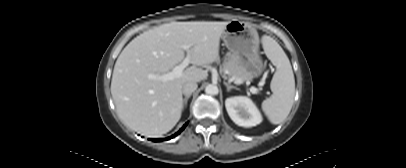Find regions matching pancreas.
<instances>
[{
  "instance_id": "pancreas-1",
  "label": "pancreas",
  "mask_w": 406,
  "mask_h": 168,
  "mask_svg": "<svg viewBox=\"0 0 406 168\" xmlns=\"http://www.w3.org/2000/svg\"><path fill=\"white\" fill-rule=\"evenodd\" d=\"M221 72L226 73L229 77L242 82L250 80L251 78L246 74L244 67L234 58L230 59L223 64Z\"/></svg>"
}]
</instances>
